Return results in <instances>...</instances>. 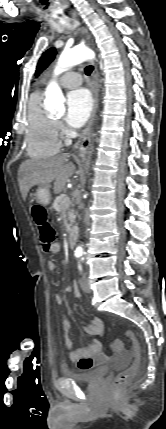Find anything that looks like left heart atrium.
Instances as JSON below:
<instances>
[{
  "label": "left heart atrium",
  "instance_id": "left-heart-atrium-1",
  "mask_svg": "<svg viewBox=\"0 0 166 429\" xmlns=\"http://www.w3.org/2000/svg\"><path fill=\"white\" fill-rule=\"evenodd\" d=\"M67 111L65 121L71 128L82 126L88 119L92 109V97L85 88H76L67 95Z\"/></svg>",
  "mask_w": 166,
  "mask_h": 429
}]
</instances>
